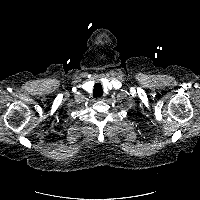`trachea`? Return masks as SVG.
<instances>
[{
  "mask_svg": "<svg viewBox=\"0 0 200 200\" xmlns=\"http://www.w3.org/2000/svg\"><path fill=\"white\" fill-rule=\"evenodd\" d=\"M103 95L102 85L100 83H96L94 86L93 96L94 98L101 97Z\"/></svg>",
  "mask_w": 200,
  "mask_h": 200,
  "instance_id": "obj_1",
  "label": "trachea"
}]
</instances>
